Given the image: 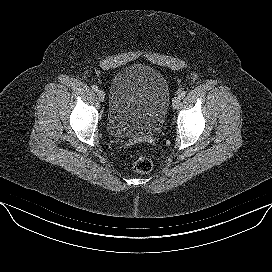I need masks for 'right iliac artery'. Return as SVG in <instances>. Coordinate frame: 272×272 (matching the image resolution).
<instances>
[{
    "label": "right iliac artery",
    "mask_w": 272,
    "mask_h": 272,
    "mask_svg": "<svg viewBox=\"0 0 272 272\" xmlns=\"http://www.w3.org/2000/svg\"><path fill=\"white\" fill-rule=\"evenodd\" d=\"M91 88H92L93 91H98V86L97 85H93V86H91Z\"/></svg>",
    "instance_id": "1"
}]
</instances>
